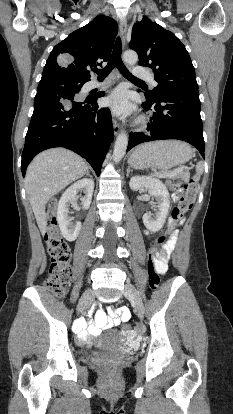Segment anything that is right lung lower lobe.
<instances>
[{
	"mask_svg": "<svg viewBox=\"0 0 233 414\" xmlns=\"http://www.w3.org/2000/svg\"><path fill=\"white\" fill-rule=\"evenodd\" d=\"M102 96L104 92L78 101L75 96L37 92L22 153L23 176L34 156L52 147H65L76 152L99 176L113 140L110 110L100 108L96 101Z\"/></svg>",
	"mask_w": 233,
	"mask_h": 414,
	"instance_id": "obj_1",
	"label": "right lung lower lobe"
}]
</instances>
